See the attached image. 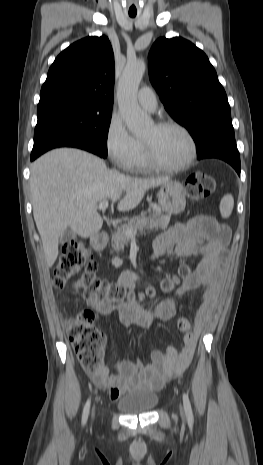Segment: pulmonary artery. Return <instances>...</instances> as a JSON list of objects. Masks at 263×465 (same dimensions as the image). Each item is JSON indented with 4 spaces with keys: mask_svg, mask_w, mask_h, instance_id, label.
<instances>
[{
    "mask_svg": "<svg viewBox=\"0 0 263 465\" xmlns=\"http://www.w3.org/2000/svg\"><path fill=\"white\" fill-rule=\"evenodd\" d=\"M137 100L141 107L148 111H154L157 107V98L150 87H142L138 94Z\"/></svg>",
    "mask_w": 263,
    "mask_h": 465,
    "instance_id": "e3ab8cb5",
    "label": "pulmonary artery"
}]
</instances>
